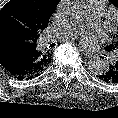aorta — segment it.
Returning <instances> with one entry per match:
<instances>
[{
	"instance_id": "1",
	"label": "aorta",
	"mask_w": 118,
	"mask_h": 118,
	"mask_svg": "<svg viewBox=\"0 0 118 118\" xmlns=\"http://www.w3.org/2000/svg\"><path fill=\"white\" fill-rule=\"evenodd\" d=\"M83 6L81 0H62L60 12L66 18H76L82 12ZM88 68L91 73L101 75L107 69V64L100 58L92 59L88 62Z\"/></svg>"
}]
</instances>
